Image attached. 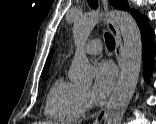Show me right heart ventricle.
Wrapping results in <instances>:
<instances>
[{
	"label": "right heart ventricle",
	"mask_w": 156,
	"mask_h": 124,
	"mask_svg": "<svg viewBox=\"0 0 156 124\" xmlns=\"http://www.w3.org/2000/svg\"><path fill=\"white\" fill-rule=\"evenodd\" d=\"M80 92L81 89L75 84L57 78L46 96V116L61 123H70L78 119Z\"/></svg>",
	"instance_id": "right-heart-ventricle-1"
}]
</instances>
